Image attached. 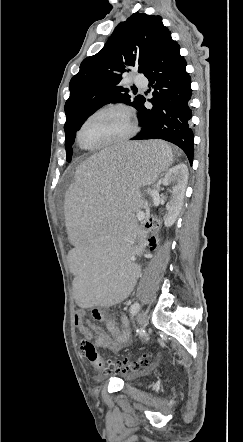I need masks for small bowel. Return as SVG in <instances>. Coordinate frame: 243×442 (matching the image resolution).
Returning a JSON list of instances; mask_svg holds the SVG:
<instances>
[{
  "label": "small bowel",
  "instance_id": "small-bowel-1",
  "mask_svg": "<svg viewBox=\"0 0 243 442\" xmlns=\"http://www.w3.org/2000/svg\"><path fill=\"white\" fill-rule=\"evenodd\" d=\"M92 318L103 321L106 329L96 325L92 319L86 318L85 311L79 310L74 316V323L82 335L83 341L95 338L98 347L118 352L132 337L127 318L121 319V328L113 319L105 318L97 309L93 310Z\"/></svg>",
  "mask_w": 243,
  "mask_h": 442
}]
</instances>
